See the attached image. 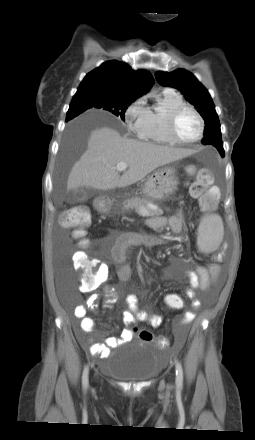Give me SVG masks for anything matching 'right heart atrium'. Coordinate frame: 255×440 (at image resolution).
Listing matches in <instances>:
<instances>
[{"mask_svg": "<svg viewBox=\"0 0 255 440\" xmlns=\"http://www.w3.org/2000/svg\"><path fill=\"white\" fill-rule=\"evenodd\" d=\"M149 109L143 97L137 98L125 110L124 118L128 128L140 136L146 128Z\"/></svg>", "mask_w": 255, "mask_h": 440, "instance_id": "obj_1", "label": "right heart atrium"}]
</instances>
